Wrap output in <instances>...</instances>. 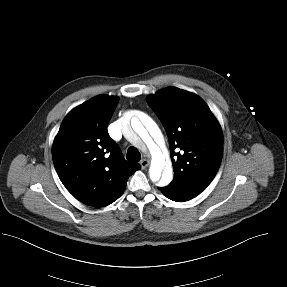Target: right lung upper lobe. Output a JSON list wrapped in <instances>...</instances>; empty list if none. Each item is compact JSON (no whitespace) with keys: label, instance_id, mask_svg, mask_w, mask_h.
I'll return each instance as SVG.
<instances>
[{"label":"right lung upper lobe","instance_id":"right-lung-upper-lobe-1","mask_svg":"<svg viewBox=\"0 0 287 287\" xmlns=\"http://www.w3.org/2000/svg\"><path fill=\"white\" fill-rule=\"evenodd\" d=\"M119 99L98 95L64 118L52 148L57 174L66 189L82 203L99 208L124 192L138 163L124 159L107 126Z\"/></svg>","mask_w":287,"mask_h":287}]
</instances>
